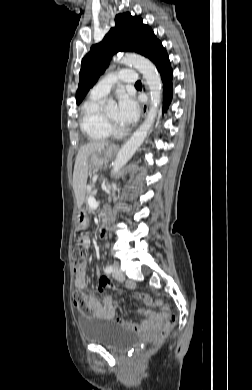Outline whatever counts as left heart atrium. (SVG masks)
I'll return each mask as SVG.
<instances>
[{
  "instance_id": "1",
  "label": "left heart atrium",
  "mask_w": 252,
  "mask_h": 390,
  "mask_svg": "<svg viewBox=\"0 0 252 390\" xmlns=\"http://www.w3.org/2000/svg\"><path fill=\"white\" fill-rule=\"evenodd\" d=\"M139 115V106L134 98L120 93L118 96L117 121L123 125L134 123Z\"/></svg>"
}]
</instances>
